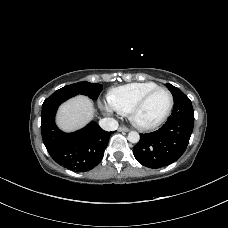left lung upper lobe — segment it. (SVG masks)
<instances>
[{
    "instance_id": "left-lung-upper-lobe-1",
    "label": "left lung upper lobe",
    "mask_w": 228,
    "mask_h": 228,
    "mask_svg": "<svg viewBox=\"0 0 228 228\" xmlns=\"http://www.w3.org/2000/svg\"><path fill=\"white\" fill-rule=\"evenodd\" d=\"M166 86L168 87V89L171 91L174 101H176L177 99H180L182 97H185L186 95L177 87L171 85V84H166Z\"/></svg>"
}]
</instances>
